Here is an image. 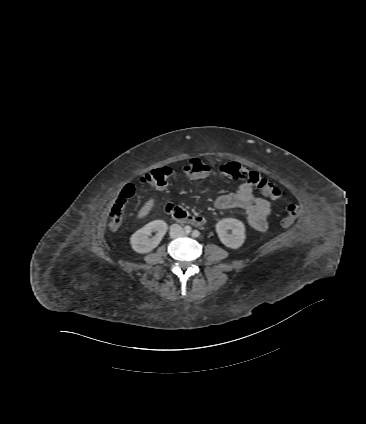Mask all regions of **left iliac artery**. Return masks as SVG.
<instances>
[{
	"label": "left iliac artery",
	"instance_id": "left-iliac-artery-1",
	"mask_svg": "<svg viewBox=\"0 0 366 424\" xmlns=\"http://www.w3.org/2000/svg\"><path fill=\"white\" fill-rule=\"evenodd\" d=\"M192 236H193V237H199V236H200V232H199L198 230H194V231L192 232Z\"/></svg>",
	"mask_w": 366,
	"mask_h": 424
}]
</instances>
